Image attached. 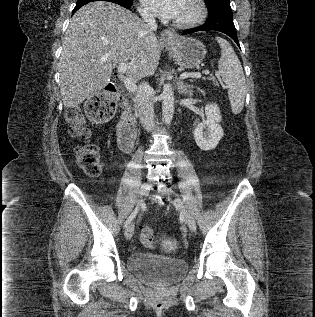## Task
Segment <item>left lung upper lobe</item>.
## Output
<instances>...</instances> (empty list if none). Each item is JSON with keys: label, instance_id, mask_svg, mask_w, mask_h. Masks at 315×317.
<instances>
[{"label": "left lung upper lobe", "instance_id": "5c2ea615", "mask_svg": "<svg viewBox=\"0 0 315 317\" xmlns=\"http://www.w3.org/2000/svg\"><path fill=\"white\" fill-rule=\"evenodd\" d=\"M209 17L207 19L210 23H220L223 21H233L232 9L229 0H204Z\"/></svg>", "mask_w": 315, "mask_h": 317}]
</instances>
